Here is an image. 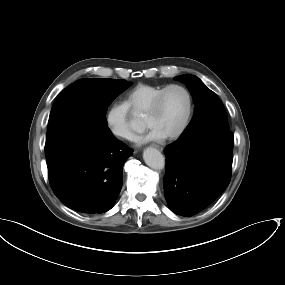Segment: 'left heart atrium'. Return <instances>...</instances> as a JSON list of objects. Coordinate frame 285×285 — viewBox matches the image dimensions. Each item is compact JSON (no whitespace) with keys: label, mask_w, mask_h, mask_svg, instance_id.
<instances>
[{"label":"left heart atrium","mask_w":285,"mask_h":285,"mask_svg":"<svg viewBox=\"0 0 285 285\" xmlns=\"http://www.w3.org/2000/svg\"><path fill=\"white\" fill-rule=\"evenodd\" d=\"M159 138H161V135L155 130L151 129L149 133L144 138L141 139V142L146 140L159 139Z\"/></svg>","instance_id":"39dd6f15"}]
</instances>
